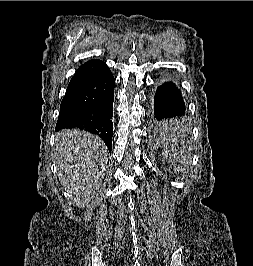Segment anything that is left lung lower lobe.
<instances>
[{"instance_id":"1","label":"left lung lower lobe","mask_w":253,"mask_h":266,"mask_svg":"<svg viewBox=\"0 0 253 266\" xmlns=\"http://www.w3.org/2000/svg\"><path fill=\"white\" fill-rule=\"evenodd\" d=\"M185 103L180 90L171 82L158 86L154 96L151 124L159 135L175 131L185 116Z\"/></svg>"}]
</instances>
